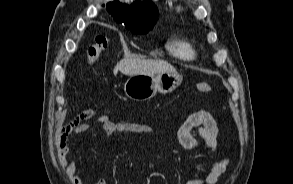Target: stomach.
<instances>
[{
    "label": "stomach",
    "instance_id": "stomach-1",
    "mask_svg": "<svg viewBox=\"0 0 293 184\" xmlns=\"http://www.w3.org/2000/svg\"><path fill=\"white\" fill-rule=\"evenodd\" d=\"M177 72H162L154 75H132L124 84L127 97L136 101L151 99L157 92L167 94L175 90L182 82Z\"/></svg>",
    "mask_w": 293,
    "mask_h": 184
}]
</instances>
